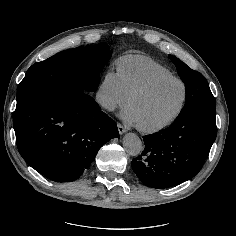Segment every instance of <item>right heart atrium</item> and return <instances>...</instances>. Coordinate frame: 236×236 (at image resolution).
Listing matches in <instances>:
<instances>
[{"mask_svg": "<svg viewBox=\"0 0 236 236\" xmlns=\"http://www.w3.org/2000/svg\"><path fill=\"white\" fill-rule=\"evenodd\" d=\"M129 95L124 90L118 72L108 69L95 90L96 102L107 112L127 104Z\"/></svg>", "mask_w": 236, "mask_h": 236, "instance_id": "d8ad5b80", "label": "right heart atrium"}]
</instances>
